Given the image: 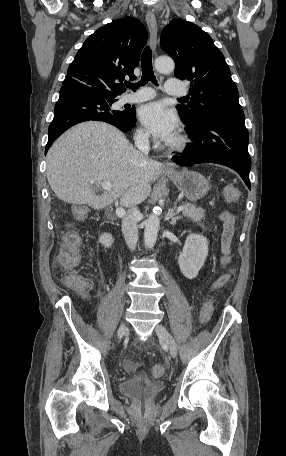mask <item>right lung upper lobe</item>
Masks as SVG:
<instances>
[{"label": "right lung upper lobe", "instance_id": "cb5924a9", "mask_svg": "<svg viewBox=\"0 0 286 456\" xmlns=\"http://www.w3.org/2000/svg\"><path fill=\"white\" fill-rule=\"evenodd\" d=\"M147 40L144 25L126 17L97 29L70 64L63 84L78 83L114 100L125 92V76L135 78L140 54Z\"/></svg>", "mask_w": 286, "mask_h": 456}]
</instances>
